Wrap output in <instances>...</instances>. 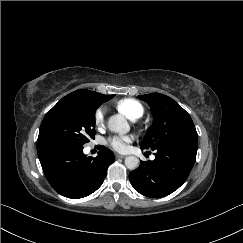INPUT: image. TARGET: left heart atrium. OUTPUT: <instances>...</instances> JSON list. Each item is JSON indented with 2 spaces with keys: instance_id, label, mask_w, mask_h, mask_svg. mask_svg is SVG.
<instances>
[{
  "instance_id": "obj_1",
  "label": "left heart atrium",
  "mask_w": 243,
  "mask_h": 243,
  "mask_svg": "<svg viewBox=\"0 0 243 243\" xmlns=\"http://www.w3.org/2000/svg\"><path fill=\"white\" fill-rule=\"evenodd\" d=\"M131 142L132 139L129 136H112L108 138L107 145L115 151L124 152Z\"/></svg>"
}]
</instances>
